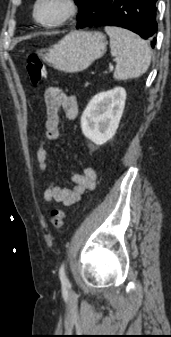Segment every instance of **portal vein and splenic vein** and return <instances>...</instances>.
<instances>
[{"instance_id": "obj_1", "label": "portal vein and splenic vein", "mask_w": 171, "mask_h": 337, "mask_svg": "<svg viewBox=\"0 0 171 337\" xmlns=\"http://www.w3.org/2000/svg\"><path fill=\"white\" fill-rule=\"evenodd\" d=\"M113 70V67H110V71H112Z\"/></svg>"}]
</instances>
